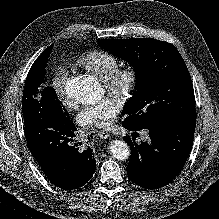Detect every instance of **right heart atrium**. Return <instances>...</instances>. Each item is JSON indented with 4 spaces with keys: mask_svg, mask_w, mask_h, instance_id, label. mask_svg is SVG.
<instances>
[{
    "mask_svg": "<svg viewBox=\"0 0 219 219\" xmlns=\"http://www.w3.org/2000/svg\"><path fill=\"white\" fill-rule=\"evenodd\" d=\"M68 74V70L65 67H58L52 77V89L59 98L63 99V103L71 108L74 104L70 100L65 99V87Z\"/></svg>",
    "mask_w": 219,
    "mask_h": 219,
    "instance_id": "d8ad5b80",
    "label": "right heart atrium"
}]
</instances>
